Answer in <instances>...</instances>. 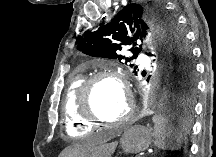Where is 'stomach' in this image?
<instances>
[{"instance_id": "1", "label": "stomach", "mask_w": 216, "mask_h": 157, "mask_svg": "<svg viewBox=\"0 0 216 157\" xmlns=\"http://www.w3.org/2000/svg\"><path fill=\"white\" fill-rule=\"evenodd\" d=\"M152 139V133L146 127L136 125L124 132L122 145L129 153H139L146 150Z\"/></svg>"}]
</instances>
